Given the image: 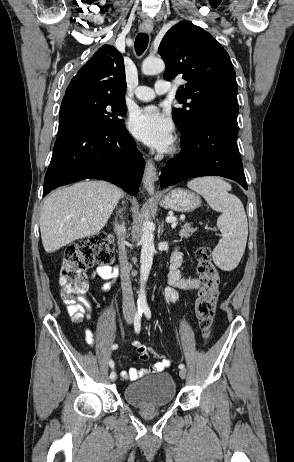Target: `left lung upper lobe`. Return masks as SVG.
<instances>
[{
  "label": "left lung upper lobe",
  "instance_id": "5c2ea615",
  "mask_svg": "<svg viewBox=\"0 0 294 462\" xmlns=\"http://www.w3.org/2000/svg\"><path fill=\"white\" fill-rule=\"evenodd\" d=\"M159 54L166 64L167 80L182 74L176 98L183 108H173V120L182 136L211 110L238 107L236 73L228 53L208 32L188 21L174 25L163 37Z\"/></svg>",
  "mask_w": 294,
  "mask_h": 462
}]
</instances>
